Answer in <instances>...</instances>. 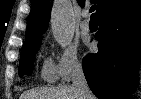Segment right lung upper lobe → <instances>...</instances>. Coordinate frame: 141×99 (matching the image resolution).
Masks as SVG:
<instances>
[{"instance_id":"1","label":"right lung upper lobe","mask_w":141,"mask_h":99,"mask_svg":"<svg viewBox=\"0 0 141 99\" xmlns=\"http://www.w3.org/2000/svg\"><path fill=\"white\" fill-rule=\"evenodd\" d=\"M94 1L97 4V16L110 2V0ZM78 3L84 6L85 0H78ZM51 7L52 0H32L24 45L42 40V34L45 33L49 25Z\"/></svg>"}]
</instances>
